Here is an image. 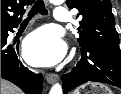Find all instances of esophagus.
Instances as JSON below:
<instances>
[{
	"instance_id": "esophagus-1",
	"label": "esophagus",
	"mask_w": 121,
	"mask_h": 94,
	"mask_svg": "<svg viewBox=\"0 0 121 94\" xmlns=\"http://www.w3.org/2000/svg\"><path fill=\"white\" fill-rule=\"evenodd\" d=\"M45 2L48 4L47 0H45ZM58 79H59V76L57 74L49 73V74L46 75V80L50 84H53V83L57 82Z\"/></svg>"
}]
</instances>
